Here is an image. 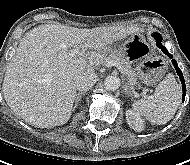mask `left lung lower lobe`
I'll use <instances>...</instances> for the list:
<instances>
[{
    "label": "left lung lower lobe",
    "instance_id": "1",
    "mask_svg": "<svg viewBox=\"0 0 190 165\" xmlns=\"http://www.w3.org/2000/svg\"><path fill=\"white\" fill-rule=\"evenodd\" d=\"M153 37L155 38V40L157 41V45L159 48H161L162 52L165 53L167 56H169L171 59L173 58V56L167 51V49L162 46L161 44V40H162V37L159 33H154ZM172 63L177 71V74L179 75L180 77V80H181V83H182V88H183V97H182V100L184 101L185 99V95H186V86H185V82H184V77H183V74L180 70V68L178 67L177 65V62L175 59H172Z\"/></svg>",
    "mask_w": 190,
    "mask_h": 165
}]
</instances>
